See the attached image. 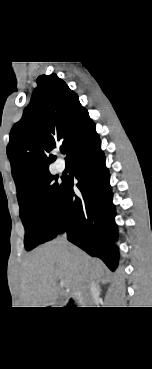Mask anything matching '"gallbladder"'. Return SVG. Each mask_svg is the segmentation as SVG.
I'll list each match as a JSON object with an SVG mask.
<instances>
[{"mask_svg":"<svg viewBox=\"0 0 152 369\" xmlns=\"http://www.w3.org/2000/svg\"><path fill=\"white\" fill-rule=\"evenodd\" d=\"M58 300H59V302H62L63 301V298L62 297H59Z\"/></svg>","mask_w":152,"mask_h":369,"instance_id":"gallbladder-1","label":"gallbladder"}]
</instances>
